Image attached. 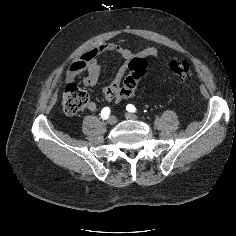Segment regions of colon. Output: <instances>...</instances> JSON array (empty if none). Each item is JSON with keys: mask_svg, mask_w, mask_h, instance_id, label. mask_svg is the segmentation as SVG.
<instances>
[{"mask_svg": "<svg viewBox=\"0 0 236 236\" xmlns=\"http://www.w3.org/2000/svg\"><path fill=\"white\" fill-rule=\"evenodd\" d=\"M169 68L179 83H185L191 77L190 64L186 60H172L169 63ZM128 70L129 74L124 79L120 88L119 98L136 91L139 81L148 71V62L144 58H132L128 64ZM88 103L89 96L85 90L76 84H69L66 87L63 93V108L67 114H77L84 109Z\"/></svg>", "mask_w": 236, "mask_h": 236, "instance_id": "colon-1", "label": "colon"}]
</instances>
